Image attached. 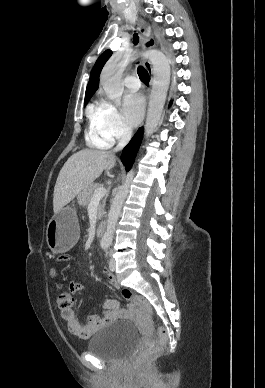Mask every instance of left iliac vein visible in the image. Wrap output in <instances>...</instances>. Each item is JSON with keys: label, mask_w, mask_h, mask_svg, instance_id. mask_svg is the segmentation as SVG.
<instances>
[{"label": "left iliac vein", "mask_w": 265, "mask_h": 388, "mask_svg": "<svg viewBox=\"0 0 265 388\" xmlns=\"http://www.w3.org/2000/svg\"><path fill=\"white\" fill-rule=\"evenodd\" d=\"M109 269L114 272L115 269H116V266H115V260L114 259H110V262H109Z\"/></svg>", "instance_id": "left-iliac-vein-1"}]
</instances>
